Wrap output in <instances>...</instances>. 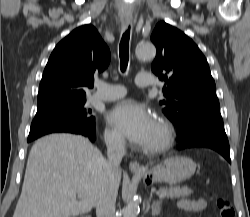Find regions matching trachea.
<instances>
[{"mask_svg": "<svg viewBox=\"0 0 250 217\" xmlns=\"http://www.w3.org/2000/svg\"><path fill=\"white\" fill-rule=\"evenodd\" d=\"M129 39L130 28H128L122 35L119 45L120 68L122 72L126 70L129 61Z\"/></svg>", "mask_w": 250, "mask_h": 217, "instance_id": "1", "label": "trachea"}]
</instances>
